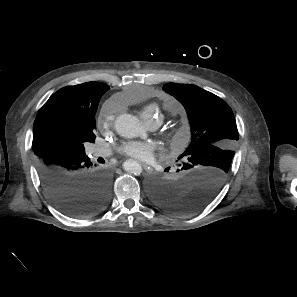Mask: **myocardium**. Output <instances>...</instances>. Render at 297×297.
<instances>
[{
	"label": "myocardium",
	"instance_id": "1",
	"mask_svg": "<svg viewBox=\"0 0 297 297\" xmlns=\"http://www.w3.org/2000/svg\"><path fill=\"white\" fill-rule=\"evenodd\" d=\"M167 138L176 146H181L184 143V135L176 130L167 133Z\"/></svg>",
	"mask_w": 297,
	"mask_h": 297
}]
</instances>
